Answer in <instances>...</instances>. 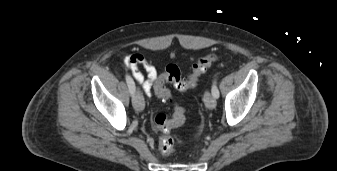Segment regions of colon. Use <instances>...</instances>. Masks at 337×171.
I'll return each mask as SVG.
<instances>
[{
	"label": "colon",
	"mask_w": 337,
	"mask_h": 171,
	"mask_svg": "<svg viewBox=\"0 0 337 171\" xmlns=\"http://www.w3.org/2000/svg\"><path fill=\"white\" fill-rule=\"evenodd\" d=\"M216 60L217 55L214 53H209L200 57L193 64L192 71L187 76H182L176 65H168L154 85L156 95L165 101L173 102L171 92L166 83H172L174 87L180 91L192 89L197 85L199 76ZM153 121L158 134L159 151L163 156H169L174 149V142L170 132L172 129L181 126L184 123V108L173 102L171 117H168L165 113H158L155 115ZM191 135L192 131L189 129H185L181 132V137L183 139H188Z\"/></svg>",
	"instance_id": "obj_1"
}]
</instances>
